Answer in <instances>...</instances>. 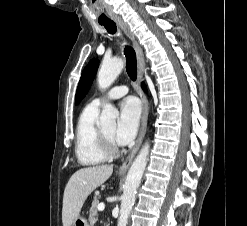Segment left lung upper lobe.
<instances>
[{
	"mask_svg": "<svg viewBox=\"0 0 247 226\" xmlns=\"http://www.w3.org/2000/svg\"><path fill=\"white\" fill-rule=\"evenodd\" d=\"M99 65V60L96 58H93L89 61L87 66L82 72L77 91H76V96H75V101L76 103L80 102L86 93L88 92L92 81L95 77V74L97 72V68Z\"/></svg>",
	"mask_w": 247,
	"mask_h": 226,
	"instance_id": "left-lung-upper-lobe-1",
	"label": "left lung upper lobe"
}]
</instances>
